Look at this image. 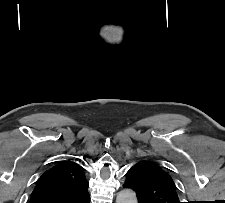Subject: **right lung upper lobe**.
<instances>
[{
	"mask_svg": "<svg viewBox=\"0 0 225 203\" xmlns=\"http://www.w3.org/2000/svg\"><path fill=\"white\" fill-rule=\"evenodd\" d=\"M88 186L80 164L61 161L41 175L30 203H79L89 195Z\"/></svg>",
	"mask_w": 225,
	"mask_h": 203,
	"instance_id": "right-lung-upper-lobe-1",
	"label": "right lung upper lobe"
}]
</instances>
